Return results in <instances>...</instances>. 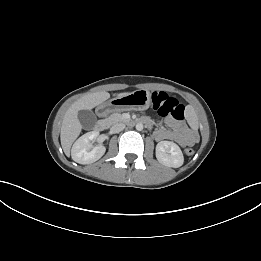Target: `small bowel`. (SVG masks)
Wrapping results in <instances>:
<instances>
[{
  "label": "small bowel",
  "instance_id": "c3829d8e",
  "mask_svg": "<svg viewBox=\"0 0 261 261\" xmlns=\"http://www.w3.org/2000/svg\"><path fill=\"white\" fill-rule=\"evenodd\" d=\"M167 124L168 128L161 127L154 132L157 141L174 140L181 146L192 145L197 141L196 133L189 130L183 122L169 119Z\"/></svg>",
  "mask_w": 261,
  "mask_h": 261
}]
</instances>
